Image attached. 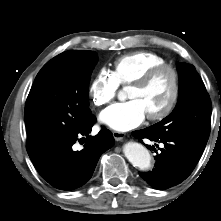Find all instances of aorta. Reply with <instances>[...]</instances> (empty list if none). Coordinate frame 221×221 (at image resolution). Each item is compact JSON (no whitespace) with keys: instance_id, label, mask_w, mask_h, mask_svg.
Listing matches in <instances>:
<instances>
[{"instance_id":"obj_1","label":"aorta","mask_w":221,"mask_h":221,"mask_svg":"<svg viewBox=\"0 0 221 221\" xmlns=\"http://www.w3.org/2000/svg\"><path fill=\"white\" fill-rule=\"evenodd\" d=\"M123 93L119 94L121 98ZM123 153L129 162L139 169H148L151 166V155L149 151L140 143L128 142L123 146Z\"/></svg>"}]
</instances>
